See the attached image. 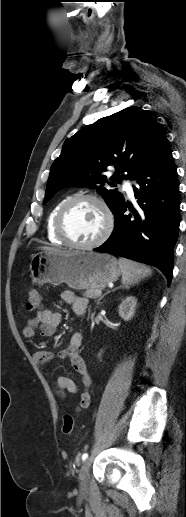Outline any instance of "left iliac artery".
<instances>
[{
  "label": "left iliac artery",
  "mask_w": 186,
  "mask_h": 517,
  "mask_svg": "<svg viewBox=\"0 0 186 517\" xmlns=\"http://www.w3.org/2000/svg\"><path fill=\"white\" fill-rule=\"evenodd\" d=\"M87 458H88V454H87V453H84V454L82 455V460L84 461V460H86Z\"/></svg>",
  "instance_id": "44dca946"
}]
</instances>
